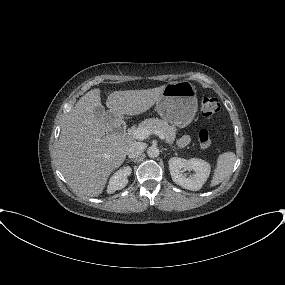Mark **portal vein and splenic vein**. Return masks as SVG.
Here are the masks:
<instances>
[{
	"label": "portal vein and splenic vein",
	"mask_w": 285,
	"mask_h": 285,
	"mask_svg": "<svg viewBox=\"0 0 285 285\" xmlns=\"http://www.w3.org/2000/svg\"><path fill=\"white\" fill-rule=\"evenodd\" d=\"M151 133L156 134L161 140L165 139V136L162 132L156 130V131H149L146 128H135V129H131L129 130V135H131L133 138L137 139V140H144L146 139Z\"/></svg>",
	"instance_id": "18ae733b"
}]
</instances>
